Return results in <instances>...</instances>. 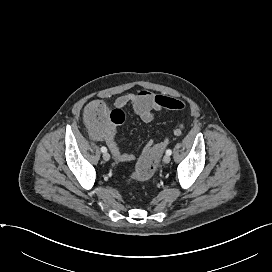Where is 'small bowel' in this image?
<instances>
[{
    "label": "small bowel",
    "mask_w": 272,
    "mask_h": 272,
    "mask_svg": "<svg viewBox=\"0 0 272 272\" xmlns=\"http://www.w3.org/2000/svg\"><path fill=\"white\" fill-rule=\"evenodd\" d=\"M132 106L134 112L144 122H151L155 115L164 110H181L185 107L184 103L173 97L154 94L147 90H141L137 93H126L119 96L115 101L116 108H124L126 106ZM184 125H177L173 133L176 136H180L183 132ZM96 140L104 141L110 149L112 155L116 160L120 162H129L134 160V155L122 152L116 141V130L114 128L108 129L102 135H93ZM152 142H148L144 146L146 151Z\"/></svg>",
    "instance_id": "1"
}]
</instances>
